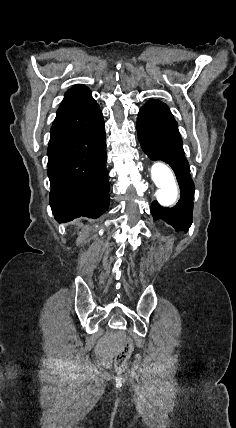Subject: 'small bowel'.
I'll use <instances>...</instances> for the list:
<instances>
[{
  "label": "small bowel",
  "instance_id": "c3829d8e",
  "mask_svg": "<svg viewBox=\"0 0 236 428\" xmlns=\"http://www.w3.org/2000/svg\"><path fill=\"white\" fill-rule=\"evenodd\" d=\"M120 332L111 330L97 344L96 351L102 357H109L119 346Z\"/></svg>",
  "mask_w": 236,
  "mask_h": 428
}]
</instances>
